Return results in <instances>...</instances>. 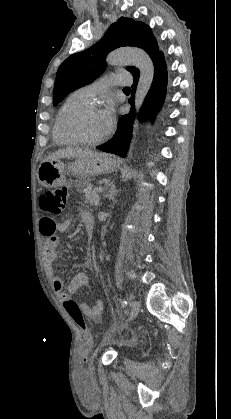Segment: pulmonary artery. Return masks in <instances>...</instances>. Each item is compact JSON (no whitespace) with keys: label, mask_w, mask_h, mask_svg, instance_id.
Segmentation results:
<instances>
[{"label":"pulmonary artery","mask_w":231,"mask_h":419,"mask_svg":"<svg viewBox=\"0 0 231 419\" xmlns=\"http://www.w3.org/2000/svg\"><path fill=\"white\" fill-rule=\"evenodd\" d=\"M132 79L128 74L111 73L104 75L98 80L81 87L79 92L88 100H91L96 94L106 91L115 85H129Z\"/></svg>","instance_id":"obj_1"}]
</instances>
